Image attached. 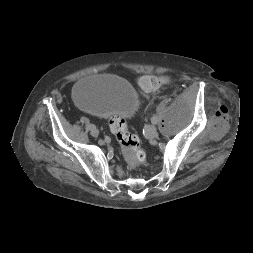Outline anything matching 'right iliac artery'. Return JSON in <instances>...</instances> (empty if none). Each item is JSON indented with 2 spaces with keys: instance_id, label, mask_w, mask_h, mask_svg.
Returning a JSON list of instances; mask_svg holds the SVG:
<instances>
[{
  "instance_id": "82829eb1",
  "label": "right iliac artery",
  "mask_w": 253,
  "mask_h": 253,
  "mask_svg": "<svg viewBox=\"0 0 253 253\" xmlns=\"http://www.w3.org/2000/svg\"><path fill=\"white\" fill-rule=\"evenodd\" d=\"M88 128H89V130H91V129H93V128H95V126L93 125V124H88Z\"/></svg>"
}]
</instances>
